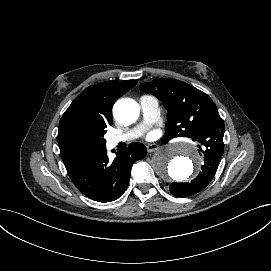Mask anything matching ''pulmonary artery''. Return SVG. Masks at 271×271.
<instances>
[{
  "label": "pulmonary artery",
  "instance_id": "1",
  "mask_svg": "<svg viewBox=\"0 0 271 271\" xmlns=\"http://www.w3.org/2000/svg\"><path fill=\"white\" fill-rule=\"evenodd\" d=\"M139 104L143 114L142 123L129 131L107 135L105 140L108 150L114 148L120 142L135 140L147 127L157 120L160 108L159 101L155 97L144 95L140 98Z\"/></svg>",
  "mask_w": 271,
  "mask_h": 271
}]
</instances>
